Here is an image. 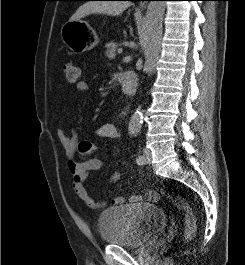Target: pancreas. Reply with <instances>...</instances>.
<instances>
[{
    "instance_id": "cf45deb5",
    "label": "pancreas",
    "mask_w": 245,
    "mask_h": 265,
    "mask_svg": "<svg viewBox=\"0 0 245 265\" xmlns=\"http://www.w3.org/2000/svg\"><path fill=\"white\" fill-rule=\"evenodd\" d=\"M106 47V51H105V56L109 59V60H113L115 59L116 56V50L118 48V44L115 43L114 41H111L109 43H107L105 45Z\"/></svg>"
}]
</instances>
